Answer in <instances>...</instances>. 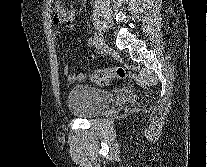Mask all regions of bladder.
<instances>
[{
	"label": "bladder",
	"instance_id": "31cf9c89",
	"mask_svg": "<svg viewBox=\"0 0 207 167\" xmlns=\"http://www.w3.org/2000/svg\"><path fill=\"white\" fill-rule=\"evenodd\" d=\"M115 100L111 91L89 85L73 86L66 97L71 113L79 117H91L99 114Z\"/></svg>",
	"mask_w": 207,
	"mask_h": 167
}]
</instances>
